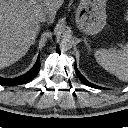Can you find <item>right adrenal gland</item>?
Listing matches in <instances>:
<instances>
[{
  "label": "right adrenal gland",
  "instance_id": "1",
  "mask_svg": "<svg viewBox=\"0 0 128 128\" xmlns=\"http://www.w3.org/2000/svg\"><path fill=\"white\" fill-rule=\"evenodd\" d=\"M40 32V30L38 31V33ZM38 33H37V35H36V37H35V39H34V41H33V45L35 44V42H36V38H37V36H38Z\"/></svg>",
  "mask_w": 128,
  "mask_h": 128
}]
</instances>
